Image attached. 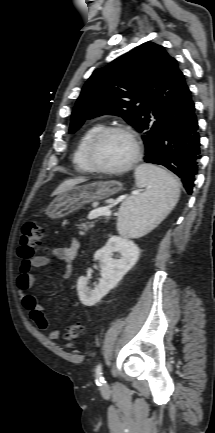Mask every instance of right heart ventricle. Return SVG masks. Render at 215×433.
<instances>
[{
    "label": "right heart ventricle",
    "mask_w": 215,
    "mask_h": 433,
    "mask_svg": "<svg viewBox=\"0 0 215 433\" xmlns=\"http://www.w3.org/2000/svg\"><path fill=\"white\" fill-rule=\"evenodd\" d=\"M104 126L102 123H94L89 126L77 144V147L73 154V164L77 171L81 173H92L93 169L89 166L86 160V147L90 141V139Z\"/></svg>",
    "instance_id": "e07e8e85"
}]
</instances>
